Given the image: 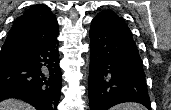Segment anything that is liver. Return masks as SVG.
Segmentation results:
<instances>
[{"label": "liver", "instance_id": "liver-1", "mask_svg": "<svg viewBox=\"0 0 171 110\" xmlns=\"http://www.w3.org/2000/svg\"><path fill=\"white\" fill-rule=\"evenodd\" d=\"M0 110H33V107L16 99H8L0 102Z\"/></svg>", "mask_w": 171, "mask_h": 110}]
</instances>
